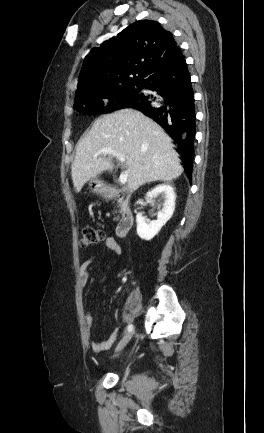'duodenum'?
<instances>
[{
  "mask_svg": "<svg viewBox=\"0 0 264 433\" xmlns=\"http://www.w3.org/2000/svg\"><path fill=\"white\" fill-rule=\"evenodd\" d=\"M104 196L110 200H118L123 205L122 216L117 226V236L123 237L128 234L134 223V213L129 207L130 193L115 188H108Z\"/></svg>",
  "mask_w": 264,
  "mask_h": 433,
  "instance_id": "1",
  "label": "duodenum"
}]
</instances>
